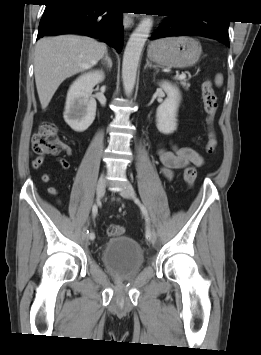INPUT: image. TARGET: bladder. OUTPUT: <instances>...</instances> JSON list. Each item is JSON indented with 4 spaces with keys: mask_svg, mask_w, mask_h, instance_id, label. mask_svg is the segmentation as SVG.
I'll return each instance as SVG.
<instances>
[{
    "mask_svg": "<svg viewBox=\"0 0 261 355\" xmlns=\"http://www.w3.org/2000/svg\"><path fill=\"white\" fill-rule=\"evenodd\" d=\"M101 260L114 276L122 280H131L140 272L144 255L137 241L126 236H116L104 243Z\"/></svg>",
    "mask_w": 261,
    "mask_h": 355,
    "instance_id": "1",
    "label": "bladder"
}]
</instances>
